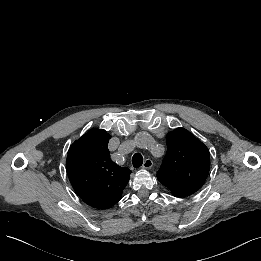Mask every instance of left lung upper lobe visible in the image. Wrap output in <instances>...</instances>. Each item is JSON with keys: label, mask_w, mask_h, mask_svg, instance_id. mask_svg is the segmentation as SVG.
Listing matches in <instances>:
<instances>
[{"label": "left lung upper lobe", "mask_w": 261, "mask_h": 261, "mask_svg": "<svg viewBox=\"0 0 261 261\" xmlns=\"http://www.w3.org/2000/svg\"><path fill=\"white\" fill-rule=\"evenodd\" d=\"M210 169L208 148L184 128L167 134V153L158 180L176 197L189 196L204 184Z\"/></svg>", "instance_id": "obj_1"}]
</instances>
